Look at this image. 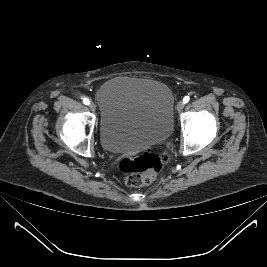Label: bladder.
<instances>
[{"label":"bladder","instance_id":"bladder-1","mask_svg":"<svg viewBox=\"0 0 267 267\" xmlns=\"http://www.w3.org/2000/svg\"><path fill=\"white\" fill-rule=\"evenodd\" d=\"M100 140L106 151L127 153L160 144L171 135L174 97L163 83L116 77L97 92Z\"/></svg>","mask_w":267,"mask_h":267}]
</instances>
